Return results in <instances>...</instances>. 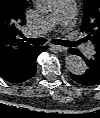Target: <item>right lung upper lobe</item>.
Instances as JSON below:
<instances>
[{"mask_svg": "<svg viewBox=\"0 0 100 118\" xmlns=\"http://www.w3.org/2000/svg\"><path fill=\"white\" fill-rule=\"evenodd\" d=\"M27 0H0V68L16 62L32 47L19 39V27L26 23Z\"/></svg>", "mask_w": 100, "mask_h": 118, "instance_id": "cb5924a9", "label": "right lung upper lobe"}]
</instances>
